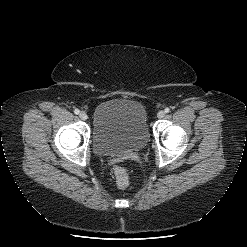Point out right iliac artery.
Masks as SVG:
<instances>
[{
	"label": "right iliac artery",
	"mask_w": 247,
	"mask_h": 247,
	"mask_svg": "<svg viewBox=\"0 0 247 247\" xmlns=\"http://www.w3.org/2000/svg\"><path fill=\"white\" fill-rule=\"evenodd\" d=\"M74 113H75L76 115H78V114L80 113L79 109H75V110H74Z\"/></svg>",
	"instance_id": "82829eb1"
}]
</instances>
